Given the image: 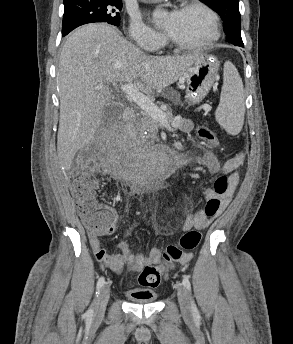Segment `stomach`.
Wrapping results in <instances>:
<instances>
[{"instance_id": "0dacf381", "label": "stomach", "mask_w": 293, "mask_h": 344, "mask_svg": "<svg viewBox=\"0 0 293 344\" xmlns=\"http://www.w3.org/2000/svg\"><path fill=\"white\" fill-rule=\"evenodd\" d=\"M219 70L218 60L207 54H200L196 61L180 77L186 85L190 104L202 101L214 84Z\"/></svg>"}]
</instances>
